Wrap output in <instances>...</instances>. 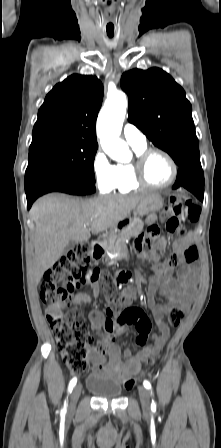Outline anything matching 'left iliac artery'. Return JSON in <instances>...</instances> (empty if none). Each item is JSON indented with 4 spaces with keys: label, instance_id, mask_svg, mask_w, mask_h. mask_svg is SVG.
<instances>
[{
    "label": "left iliac artery",
    "instance_id": "obj_1",
    "mask_svg": "<svg viewBox=\"0 0 221 448\" xmlns=\"http://www.w3.org/2000/svg\"><path fill=\"white\" fill-rule=\"evenodd\" d=\"M143 385H144V387L145 388H147V389H151V384H150V382H148L147 380H145L144 382H143ZM151 409L152 410H155L156 409V404H155V402L152 400V403H151Z\"/></svg>",
    "mask_w": 221,
    "mask_h": 448
}]
</instances>
